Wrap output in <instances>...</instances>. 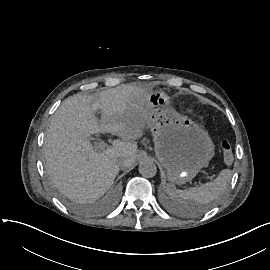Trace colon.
Segmentation results:
<instances>
[{
    "label": "colon",
    "instance_id": "1",
    "mask_svg": "<svg viewBox=\"0 0 270 270\" xmlns=\"http://www.w3.org/2000/svg\"><path fill=\"white\" fill-rule=\"evenodd\" d=\"M221 146L224 150L222 152V162L226 166H231L235 162V156H234V152L232 151V145L229 141L222 140Z\"/></svg>",
    "mask_w": 270,
    "mask_h": 270
}]
</instances>
